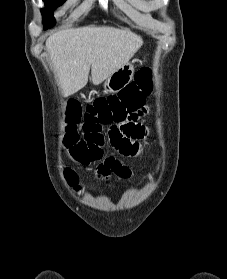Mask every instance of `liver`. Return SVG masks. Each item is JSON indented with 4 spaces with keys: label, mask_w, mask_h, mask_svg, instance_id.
<instances>
[{
    "label": "liver",
    "mask_w": 227,
    "mask_h": 279,
    "mask_svg": "<svg viewBox=\"0 0 227 279\" xmlns=\"http://www.w3.org/2000/svg\"><path fill=\"white\" fill-rule=\"evenodd\" d=\"M142 44V38L128 28L86 26L52 34L46 49L68 97L86 86L90 69L93 84L99 85L129 62Z\"/></svg>",
    "instance_id": "liver-1"
}]
</instances>
